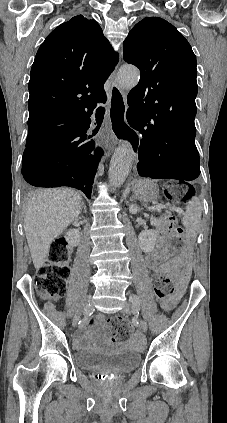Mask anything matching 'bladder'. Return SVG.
<instances>
[{
  "label": "bladder",
  "mask_w": 227,
  "mask_h": 423,
  "mask_svg": "<svg viewBox=\"0 0 227 423\" xmlns=\"http://www.w3.org/2000/svg\"><path fill=\"white\" fill-rule=\"evenodd\" d=\"M142 356L134 349L117 352L82 350L74 353V363L82 372L101 374L100 369L108 368L115 374L130 373L141 364Z\"/></svg>",
  "instance_id": "31cf9c89"
}]
</instances>
